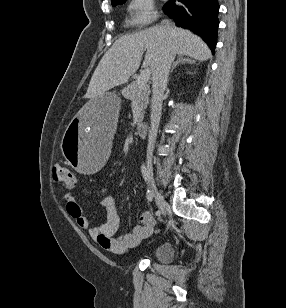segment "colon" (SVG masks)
<instances>
[{"mask_svg":"<svg viewBox=\"0 0 286 308\" xmlns=\"http://www.w3.org/2000/svg\"><path fill=\"white\" fill-rule=\"evenodd\" d=\"M52 179L56 185L65 188H73L76 185L75 174L73 170L65 166H56L52 170Z\"/></svg>","mask_w":286,"mask_h":308,"instance_id":"colon-1","label":"colon"}]
</instances>
